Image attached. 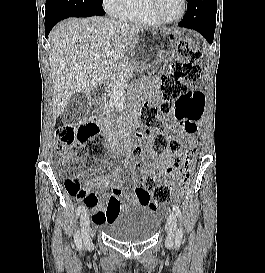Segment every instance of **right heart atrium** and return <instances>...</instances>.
Returning a JSON list of instances; mask_svg holds the SVG:
<instances>
[{"mask_svg": "<svg viewBox=\"0 0 265 273\" xmlns=\"http://www.w3.org/2000/svg\"><path fill=\"white\" fill-rule=\"evenodd\" d=\"M125 2L126 0H103V6L109 14L117 16Z\"/></svg>", "mask_w": 265, "mask_h": 273, "instance_id": "obj_1", "label": "right heart atrium"}]
</instances>
